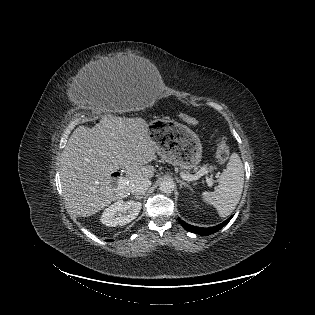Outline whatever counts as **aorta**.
Segmentation results:
<instances>
[{"instance_id":"1","label":"aorta","mask_w":315,"mask_h":315,"mask_svg":"<svg viewBox=\"0 0 315 315\" xmlns=\"http://www.w3.org/2000/svg\"><path fill=\"white\" fill-rule=\"evenodd\" d=\"M174 187V182L171 180H164L159 185L160 191L165 194H171L174 191Z\"/></svg>"}]
</instances>
